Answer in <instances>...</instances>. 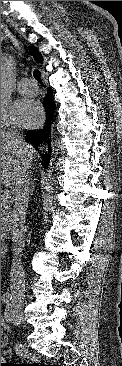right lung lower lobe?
Returning a JSON list of instances; mask_svg holds the SVG:
<instances>
[{
    "label": "right lung lower lobe",
    "mask_w": 122,
    "mask_h": 366,
    "mask_svg": "<svg viewBox=\"0 0 122 366\" xmlns=\"http://www.w3.org/2000/svg\"><path fill=\"white\" fill-rule=\"evenodd\" d=\"M44 107L46 110V122L44 127L40 130L35 131H27L26 133V140L33 144L36 148L38 146L47 145L48 152L42 155V160L44 161L43 167L47 168L50 162L51 152V131H52V124L55 121V108L56 105L53 101V92L51 89L47 91V96L44 100Z\"/></svg>",
    "instance_id": "98d812e1"
}]
</instances>
